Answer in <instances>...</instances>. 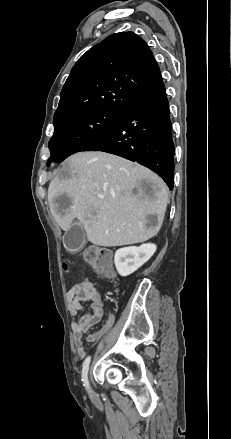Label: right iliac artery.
Segmentation results:
<instances>
[{"label":"right iliac artery","instance_id":"1","mask_svg":"<svg viewBox=\"0 0 231 439\" xmlns=\"http://www.w3.org/2000/svg\"><path fill=\"white\" fill-rule=\"evenodd\" d=\"M91 361V357L88 356L85 361L83 362V368H82V381L84 382V386L89 389V382H88V369H89V364Z\"/></svg>","mask_w":231,"mask_h":439}]
</instances>
